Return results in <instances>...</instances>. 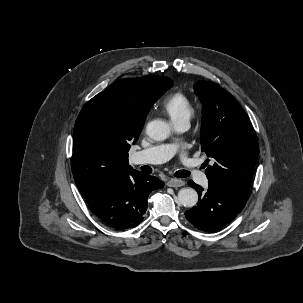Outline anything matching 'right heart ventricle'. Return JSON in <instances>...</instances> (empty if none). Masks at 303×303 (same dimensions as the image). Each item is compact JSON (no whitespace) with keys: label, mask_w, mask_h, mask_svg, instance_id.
Listing matches in <instances>:
<instances>
[{"label":"right heart ventricle","mask_w":303,"mask_h":303,"mask_svg":"<svg viewBox=\"0 0 303 303\" xmlns=\"http://www.w3.org/2000/svg\"><path fill=\"white\" fill-rule=\"evenodd\" d=\"M162 110L176 126L182 122L189 121L193 113V105L186 94L174 92L164 99Z\"/></svg>","instance_id":"right-heart-ventricle-1"}]
</instances>
